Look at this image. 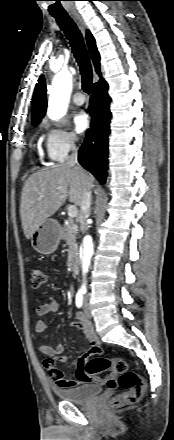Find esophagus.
<instances>
[{
    "label": "esophagus",
    "instance_id": "esophagus-1",
    "mask_svg": "<svg viewBox=\"0 0 174 440\" xmlns=\"http://www.w3.org/2000/svg\"><path fill=\"white\" fill-rule=\"evenodd\" d=\"M71 17L74 20V22L77 24L78 28L82 31V33H85V26L82 19L77 15H72Z\"/></svg>",
    "mask_w": 174,
    "mask_h": 440
}]
</instances>
